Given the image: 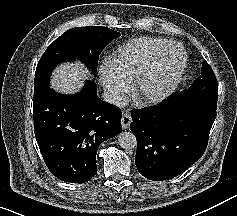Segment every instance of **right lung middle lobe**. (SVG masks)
<instances>
[{"label": "right lung middle lobe", "mask_w": 237, "mask_h": 216, "mask_svg": "<svg viewBox=\"0 0 237 216\" xmlns=\"http://www.w3.org/2000/svg\"><path fill=\"white\" fill-rule=\"evenodd\" d=\"M119 36L120 33L101 26L67 30L48 46L39 60L35 72L34 95L49 86L50 74L60 63L78 59L96 74L101 51Z\"/></svg>", "instance_id": "1"}]
</instances>
